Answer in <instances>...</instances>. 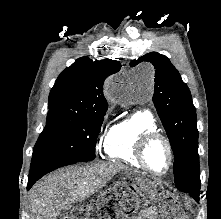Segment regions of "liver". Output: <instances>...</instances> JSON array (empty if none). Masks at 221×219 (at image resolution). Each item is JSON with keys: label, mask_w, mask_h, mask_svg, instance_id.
Returning <instances> with one entry per match:
<instances>
[{"label": "liver", "mask_w": 221, "mask_h": 219, "mask_svg": "<svg viewBox=\"0 0 221 219\" xmlns=\"http://www.w3.org/2000/svg\"><path fill=\"white\" fill-rule=\"evenodd\" d=\"M127 170L119 162H103L81 167H68L38 181L29 192L31 219H57L102 189L114 175Z\"/></svg>", "instance_id": "liver-1"}]
</instances>
